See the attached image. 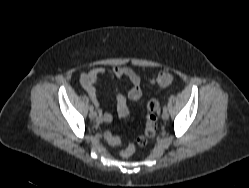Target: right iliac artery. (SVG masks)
<instances>
[{"label":"right iliac artery","mask_w":249,"mask_h":188,"mask_svg":"<svg viewBox=\"0 0 249 188\" xmlns=\"http://www.w3.org/2000/svg\"><path fill=\"white\" fill-rule=\"evenodd\" d=\"M89 109H90V111H93V110H94V106L91 105V106L89 107Z\"/></svg>","instance_id":"obj_1"}]
</instances>
